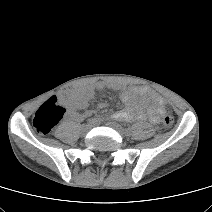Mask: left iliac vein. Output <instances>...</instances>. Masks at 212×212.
Masks as SVG:
<instances>
[{
	"instance_id": "obj_1",
	"label": "left iliac vein",
	"mask_w": 212,
	"mask_h": 212,
	"mask_svg": "<svg viewBox=\"0 0 212 212\" xmlns=\"http://www.w3.org/2000/svg\"><path fill=\"white\" fill-rule=\"evenodd\" d=\"M107 125L113 129H115L121 135L126 134V131L124 130V128L121 125L117 124L116 122H109V123H107Z\"/></svg>"
}]
</instances>
